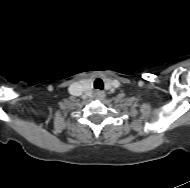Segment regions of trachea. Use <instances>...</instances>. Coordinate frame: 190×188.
<instances>
[{
	"label": "trachea",
	"instance_id": "1",
	"mask_svg": "<svg viewBox=\"0 0 190 188\" xmlns=\"http://www.w3.org/2000/svg\"><path fill=\"white\" fill-rule=\"evenodd\" d=\"M94 88L100 89V90L103 89V81H102L100 78H97V79L94 81Z\"/></svg>",
	"mask_w": 190,
	"mask_h": 188
}]
</instances>
